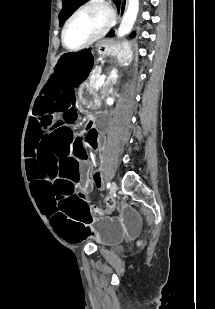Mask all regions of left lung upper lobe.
<instances>
[{
	"label": "left lung upper lobe",
	"instance_id": "1",
	"mask_svg": "<svg viewBox=\"0 0 215 309\" xmlns=\"http://www.w3.org/2000/svg\"><path fill=\"white\" fill-rule=\"evenodd\" d=\"M85 0H63V10L60 13V22L63 24L65 19L71 14V12L82 2ZM116 2V5L118 9L120 8L121 0H114ZM113 32L109 34V36H113ZM135 33L133 32L131 34L132 37H135Z\"/></svg>",
	"mask_w": 215,
	"mask_h": 309
}]
</instances>
